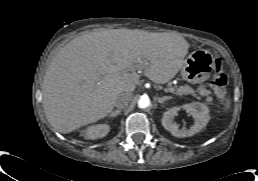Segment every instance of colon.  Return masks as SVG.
Here are the masks:
<instances>
[{
	"instance_id": "1",
	"label": "colon",
	"mask_w": 258,
	"mask_h": 181,
	"mask_svg": "<svg viewBox=\"0 0 258 181\" xmlns=\"http://www.w3.org/2000/svg\"><path fill=\"white\" fill-rule=\"evenodd\" d=\"M227 76L221 69L220 62L215 61V73L212 77L211 87L219 98L224 101L227 98L228 92L226 90Z\"/></svg>"
}]
</instances>
